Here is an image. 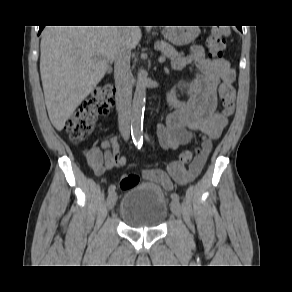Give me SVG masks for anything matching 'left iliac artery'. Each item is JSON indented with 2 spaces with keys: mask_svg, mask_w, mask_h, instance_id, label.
Returning <instances> with one entry per match:
<instances>
[{
  "mask_svg": "<svg viewBox=\"0 0 292 292\" xmlns=\"http://www.w3.org/2000/svg\"><path fill=\"white\" fill-rule=\"evenodd\" d=\"M172 201H178L179 202V195L176 193L171 194Z\"/></svg>",
  "mask_w": 292,
  "mask_h": 292,
  "instance_id": "left-iliac-artery-1",
  "label": "left iliac artery"
}]
</instances>
